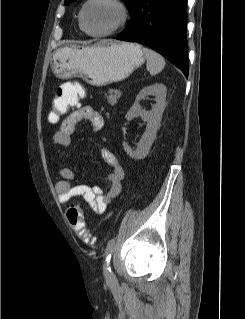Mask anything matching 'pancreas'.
Listing matches in <instances>:
<instances>
[{"mask_svg":"<svg viewBox=\"0 0 245 319\" xmlns=\"http://www.w3.org/2000/svg\"><path fill=\"white\" fill-rule=\"evenodd\" d=\"M113 90H110L108 94H106V98L108 100V103L111 105H115L117 103V100L120 98L119 93H113Z\"/></svg>","mask_w":245,"mask_h":319,"instance_id":"pancreas-1","label":"pancreas"}]
</instances>
